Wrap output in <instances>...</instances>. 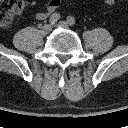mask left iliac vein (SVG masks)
Segmentation results:
<instances>
[{"label":"left iliac vein","mask_w":128,"mask_h":128,"mask_svg":"<svg viewBox=\"0 0 128 128\" xmlns=\"http://www.w3.org/2000/svg\"><path fill=\"white\" fill-rule=\"evenodd\" d=\"M57 26L60 27V28H63V29H67L69 27L68 23L65 22V21L58 22Z\"/></svg>","instance_id":"4c4485c4"}]
</instances>
